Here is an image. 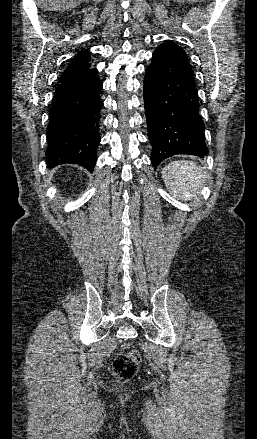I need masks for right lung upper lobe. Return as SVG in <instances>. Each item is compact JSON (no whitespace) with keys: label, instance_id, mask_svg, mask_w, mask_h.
Instances as JSON below:
<instances>
[{"label":"right lung upper lobe","instance_id":"right-lung-upper-lobe-1","mask_svg":"<svg viewBox=\"0 0 257 439\" xmlns=\"http://www.w3.org/2000/svg\"><path fill=\"white\" fill-rule=\"evenodd\" d=\"M90 61V52L85 50L75 56V58L71 61L69 66L63 72L59 79V83L66 82L72 80L91 69Z\"/></svg>","mask_w":257,"mask_h":439}]
</instances>
